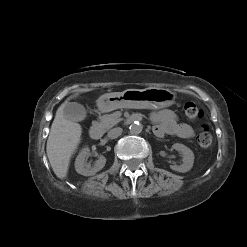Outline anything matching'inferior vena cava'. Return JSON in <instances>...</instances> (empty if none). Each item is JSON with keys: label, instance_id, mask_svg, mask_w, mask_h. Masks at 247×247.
<instances>
[{"label": "inferior vena cava", "instance_id": "obj_1", "mask_svg": "<svg viewBox=\"0 0 247 247\" xmlns=\"http://www.w3.org/2000/svg\"><path fill=\"white\" fill-rule=\"evenodd\" d=\"M122 131H123V130H122V128H120V127L113 128V129H111V130L108 132L107 136H108V138H110V139H115V138H117V137H119V136L121 135Z\"/></svg>", "mask_w": 247, "mask_h": 247}]
</instances>
